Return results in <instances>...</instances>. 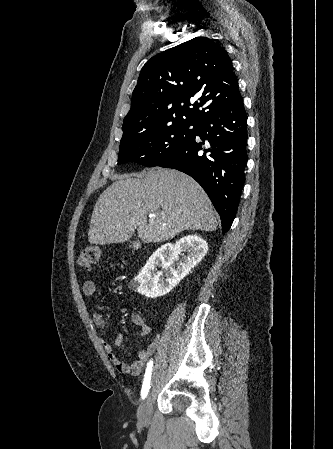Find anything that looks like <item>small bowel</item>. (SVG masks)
<instances>
[{
  "label": "small bowel",
  "mask_w": 333,
  "mask_h": 449,
  "mask_svg": "<svg viewBox=\"0 0 333 449\" xmlns=\"http://www.w3.org/2000/svg\"><path fill=\"white\" fill-rule=\"evenodd\" d=\"M97 285L93 280H86L82 285V292L85 297L92 298L96 295ZM93 321L95 324L103 328L104 320L98 312L92 313ZM131 320L134 325L139 327L140 334L142 336H149L152 333L151 326L146 322L145 317L138 312L131 314ZM123 341L122 335H118L113 343L106 341L102 342L103 348L108 356L110 362L114 367L122 374H127L131 376H138L141 374L146 362L150 357L157 351L160 346L161 338L159 335H155L152 340L148 343L146 348L140 350L137 355V359L132 363L128 364L123 361L115 352V347L120 346Z\"/></svg>",
  "instance_id": "obj_1"
}]
</instances>
